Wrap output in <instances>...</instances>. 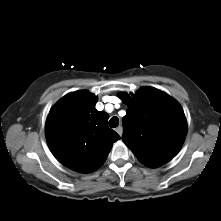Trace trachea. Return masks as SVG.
<instances>
[{
    "label": "trachea",
    "mask_w": 221,
    "mask_h": 221,
    "mask_svg": "<svg viewBox=\"0 0 221 221\" xmlns=\"http://www.w3.org/2000/svg\"><path fill=\"white\" fill-rule=\"evenodd\" d=\"M119 125V119L117 117H112L110 120H109V126L111 128H116L117 126Z\"/></svg>",
    "instance_id": "3493384b"
}]
</instances>
